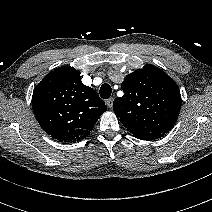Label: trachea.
I'll return each mask as SVG.
<instances>
[{
  "label": "trachea",
  "instance_id": "trachea-1",
  "mask_svg": "<svg viewBox=\"0 0 212 212\" xmlns=\"http://www.w3.org/2000/svg\"><path fill=\"white\" fill-rule=\"evenodd\" d=\"M111 93H112V88L109 84L105 83L100 87L101 98L108 99L111 96Z\"/></svg>",
  "mask_w": 212,
  "mask_h": 212
}]
</instances>
